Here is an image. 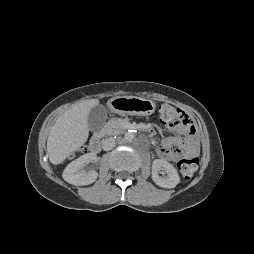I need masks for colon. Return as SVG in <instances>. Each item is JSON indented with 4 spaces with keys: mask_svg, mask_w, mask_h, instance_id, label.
<instances>
[{
    "mask_svg": "<svg viewBox=\"0 0 254 254\" xmlns=\"http://www.w3.org/2000/svg\"><path fill=\"white\" fill-rule=\"evenodd\" d=\"M161 119L169 127L187 126L191 134L196 133V128L192 124L190 117L180 108L170 103H165L160 107ZM197 158H186L179 162V171L185 179H190L198 168Z\"/></svg>",
    "mask_w": 254,
    "mask_h": 254,
    "instance_id": "5ec220e1",
    "label": "colon"
}]
</instances>
